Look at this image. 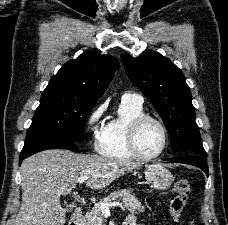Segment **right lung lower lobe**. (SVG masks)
<instances>
[{
	"label": "right lung lower lobe",
	"mask_w": 228,
	"mask_h": 225,
	"mask_svg": "<svg viewBox=\"0 0 228 225\" xmlns=\"http://www.w3.org/2000/svg\"><path fill=\"white\" fill-rule=\"evenodd\" d=\"M47 149H69L78 151L75 141L66 137L47 135L26 139L20 154L19 165L25 158Z\"/></svg>",
	"instance_id": "1"
}]
</instances>
